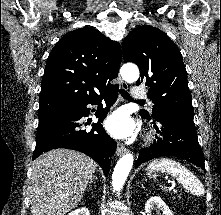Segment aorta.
<instances>
[{"mask_svg": "<svg viewBox=\"0 0 221 215\" xmlns=\"http://www.w3.org/2000/svg\"><path fill=\"white\" fill-rule=\"evenodd\" d=\"M122 78L129 83H134L139 78V69L135 64L128 63L121 68ZM134 162V157L131 153L123 155L117 162L113 175H112V185L114 191H119L123 187L129 172L132 169Z\"/></svg>", "mask_w": 221, "mask_h": 215, "instance_id": "obj_1", "label": "aorta"}]
</instances>
